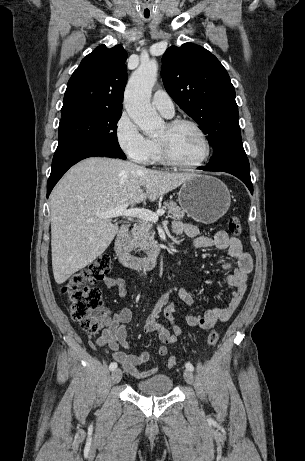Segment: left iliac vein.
I'll use <instances>...</instances> for the list:
<instances>
[{
  "mask_svg": "<svg viewBox=\"0 0 305 461\" xmlns=\"http://www.w3.org/2000/svg\"><path fill=\"white\" fill-rule=\"evenodd\" d=\"M183 376H184L185 381L188 384H190V385L193 384L194 378H193V374H192V372L190 370H188V369L184 370Z\"/></svg>",
  "mask_w": 305,
  "mask_h": 461,
  "instance_id": "left-iliac-vein-1",
  "label": "left iliac vein"
}]
</instances>
